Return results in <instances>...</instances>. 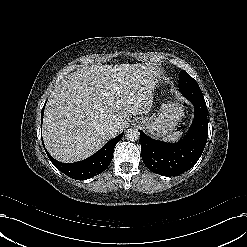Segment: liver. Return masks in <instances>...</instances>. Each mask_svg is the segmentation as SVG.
Wrapping results in <instances>:
<instances>
[{
  "label": "liver",
  "instance_id": "liver-1",
  "mask_svg": "<svg viewBox=\"0 0 247 247\" xmlns=\"http://www.w3.org/2000/svg\"><path fill=\"white\" fill-rule=\"evenodd\" d=\"M158 72L143 64L85 66L57 84L43 119V139L58 161L72 163L98 151L132 115L148 114ZM119 123L116 132L108 126Z\"/></svg>",
  "mask_w": 247,
  "mask_h": 247
}]
</instances>
